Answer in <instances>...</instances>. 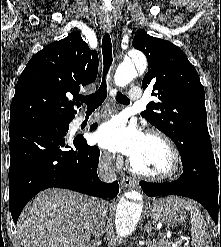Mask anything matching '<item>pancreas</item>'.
<instances>
[{"label":"pancreas","mask_w":221,"mask_h":247,"mask_svg":"<svg viewBox=\"0 0 221 247\" xmlns=\"http://www.w3.org/2000/svg\"><path fill=\"white\" fill-rule=\"evenodd\" d=\"M159 247H172V243L168 242L164 238H161L159 241Z\"/></svg>","instance_id":"pancreas-1"}]
</instances>
